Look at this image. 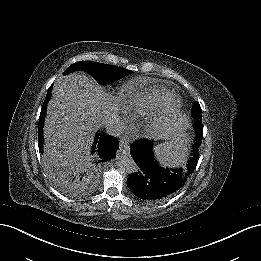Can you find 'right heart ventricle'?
I'll list each match as a JSON object with an SVG mask.
<instances>
[{
	"label": "right heart ventricle",
	"instance_id": "1",
	"mask_svg": "<svg viewBox=\"0 0 261 261\" xmlns=\"http://www.w3.org/2000/svg\"><path fill=\"white\" fill-rule=\"evenodd\" d=\"M173 95L165 88H145L132 93L123 102L122 110L128 118L139 122L159 111Z\"/></svg>",
	"mask_w": 261,
	"mask_h": 261
}]
</instances>
